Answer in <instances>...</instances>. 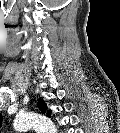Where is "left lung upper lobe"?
Returning a JSON list of instances; mask_svg holds the SVG:
<instances>
[{
  "instance_id": "5c2ea615",
  "label": "left lung upper lobe",
  "mask_w": 120,
  "mask_h": 133,
  "mask_svg": "<svg viewBox=\"0 0 120 133\" xmlns=\"http://www.w3.org/2000/svg\"><path fill=\"white\" fill-rule=\"evenodd\" d=\"M38 107L42 113H46L47 106H46L45 102L41 101L40 99L38 101ZM47 116L48 117L51 116V111H47ZM1 120H2V117L0 116V125H1Z\"/></svg>"
}]
</instances>
